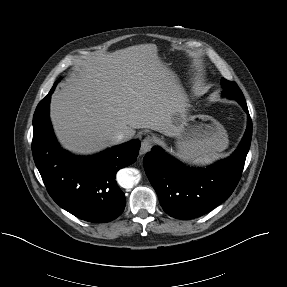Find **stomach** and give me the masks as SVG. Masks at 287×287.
<instances>
[{
	"mask_svg": "<svg viewBox=\"0 0 287 287\" xmlns=\"http://www.w3.org/2000/svg\"><path fill=\"white\" fill-rule=\"evenodd\" d=\"M174 138L177 155L186 161L216 154L228 146L224 127L213 117L196 114L193 109L187 110L185 118L177 126Z\"/></svg>",
	"mask_w": 287,
	"mask_h": 287,
	"instance_id": "1",
	"label": "stomach"
}]
</instances>
